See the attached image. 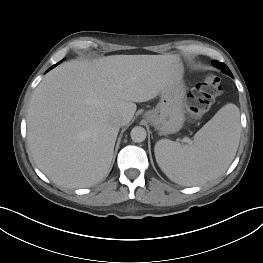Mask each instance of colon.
<instances>
[{"label": "colon", "instance_id": "obj_1", "mask_svg": "<svg viewBox=\"0 0 263 263\" xmlns=\"http://www.w3.org/2000/svg\"><path fill=\"white\" fill-rule=\"evenodd\" d=\"M222 93L220 79L208 74L197 83L186 97V113L191 120H198L210 109L214 100Z\"/></svg>", "mask_w": 263, "mask_h": 263}]
</instances>
